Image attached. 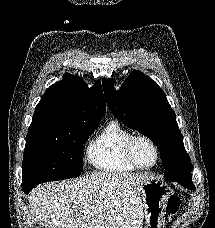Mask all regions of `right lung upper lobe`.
<instances>
[{"label":"right lung upper lobe","mask_w":215,"mask_h":228,"mask_svg":"<svg viewBox=\"0 0 215 228\" xmlns=\"http://www.w3.org/2000/svg\"><path fill=\"white\" fill-rule=\"evenodd\" d=\"M63 82L51 85L37 104L28 132L46 128L100 122L106 111L101 83L91 88L66 73Z\"/></svg>","instance_id":"obj_1"}]
</instances>
